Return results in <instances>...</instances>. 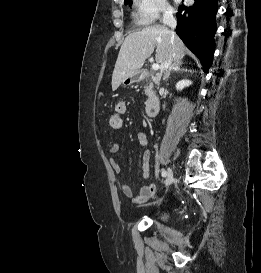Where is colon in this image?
<instances>
[{
    "label": "colon",
    "mask_w": 261,
    "mask_h": 273,
    "mask_svg": "<svg viewBox=\"0 0 261 273\" xmlns=\"http://www.w3.org/2000/svg\"><path fill=\"white\" fill-rule=\"evenodd\" d=\"M108 124L112 129H119L122 126V118L118 113H114L109 117Z\"/></svg>",
    "instance_id": "1"
}]
</instances>
